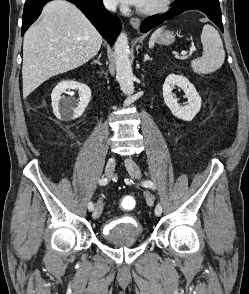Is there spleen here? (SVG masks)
<instances>
[{"mask_svg":"<svg viewBox=\"0 0 249 294\" xmlns=\"http://www.w3.org/2000/svg\"><path fill=\"white\" fill-rule=\"evenodd\" d=\"M163 27L158 28L151 36L149 47H154L155 41L162 32ZM201 43L204 53L202 57L194 59L191 67L195 73L209 74L219 69L225 60L223 42L218 31L211 25L206 24L201 34Z\"/></svg>","mask_w":249,"mask_h":294,"instance_id":"3e777b00","label":"spleen"}]
</instances>
